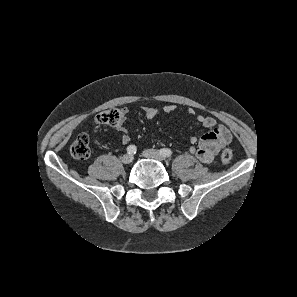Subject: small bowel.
Returning a JSON list of instances; mask_svg holds the SVG:
<instances>
[{"mask_svg":"<svg viewBox=\"0 0 297 297\" xmlns=\"http://www.w3.org/2000/svg\"><path fill=\"white\" fill-rule=\"evenodd\" d=\"M175 110V105H166L163 108V111L167 114L173 113ZM120 112L123 119L126 116L128 109L125 107L121 108ZM158 112V109L154 107H148L144 110V114L148 119L154 118ZM188 113L190 115H196L195 110L192 108L188 110ZM196 120L204 127L208 128L209 131L201 137L198 145H195L196 140L192 138L190 152L195 154L202 162L210 163L214 160L215 155L221 148L230 142L231 134L225 127L218 125L216 119L211 116L196 115ZM117 129L123 133L121 137L122 143L128 144L130 135L127 128L120 123L117 125Z\"/></svg>","mask_w":297,"mask_h":297,"instance_id":"obj_1","label":"small bowel"}]
</instances>
